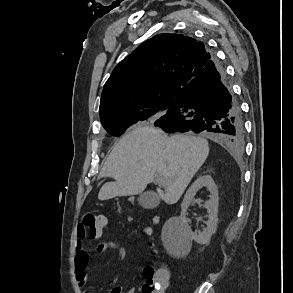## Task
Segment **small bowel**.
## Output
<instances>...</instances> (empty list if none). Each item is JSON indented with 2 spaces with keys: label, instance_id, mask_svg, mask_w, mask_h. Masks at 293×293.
<instances>
[{
  "label": "small bowel",
  "instance_id": "c3829d8e",
  "mask_svg": "<svg viewBox=\"0 0 293 293\" xmlns=\"http://www.w3.org/2000/svg\"><path fill=\"white\" fill-rule=\"evenodd\" d=\"M96 253L114 252L117 258L123 260L126 258L127 249L126 247L112 239H106L99 242L95 247ZM90 263V252L86 247V237L83 234L82 228L79 226L77 229L76 243H75V254L73 258L74 271L76 274L77 282L80 286L87 284V270ZM83 293H92L89 290ZM111 293H137L135 288H129L124 290L123 287L117 285L112 288Z\"/></svg>",
  "mask_w": 293,
  "mask_h": 293
}]
</instances>
